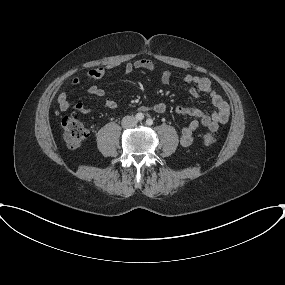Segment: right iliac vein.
<instances>
[{
	"mask_svg": "<svg viewBox=\"0 0 285 285\" xmlns=\"http://www.w3.org/2000/svg\"><path fill=\"white\" fill-rule=\"evenodd\" d=\"M126 124H127V121L124 122V125H126Z\"/></svg>",
	"mask_w": 285,
	"mask_h": 285,
	"instance_id": "obj_1",
	"label": "right iliac vein"
}]
</instances>
